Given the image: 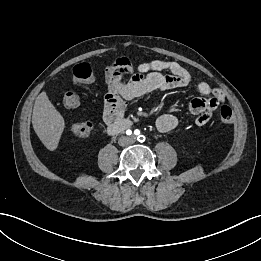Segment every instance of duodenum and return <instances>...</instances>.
Listing matches in <instances>:
<instances>
[{
    "mask_svg": "<svg viewBox=\"0 0 261 261\" xmlns=\"http://www.w3.org/2000/svg\"><path fill=\"white\" fill-rule=\"evenodd\" d=\"M131 123L127 120H120L113 124L108 125V131L109 133L115 134L122 132L123 130L127 129Z\"/></svg>",
    "mask_w": 261,
    "mask_h": 261,
    "instance_id": "obj_1",
    "label": "duodenum"
}]
</instances>
